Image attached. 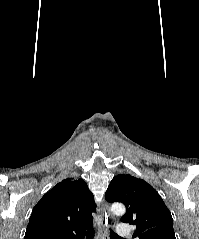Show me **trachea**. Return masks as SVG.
Returning a JSON list of instances; mask_svg holds the SVG:
<instances>
[{
    "instance_id": "trachea-1",
    "label": "trachea",
    "mask_w": 199,
    "mask_h": 239,
    "mask_svg": "<svg viewBox=\"0 0 199 239\" xmlns=\"http://www.w3.org/2000/svg\"><path fill=\"white\" fill-rule=\"evenodd\" d=\"M110 236H111V239H121L115 232H113L111 229H110ZM94 238V233L93 231H91L88 236H87V239H93Z\"/></svg>"
}]
</instances>
